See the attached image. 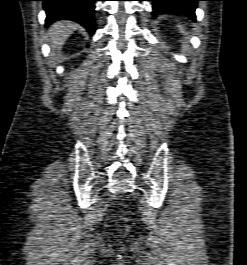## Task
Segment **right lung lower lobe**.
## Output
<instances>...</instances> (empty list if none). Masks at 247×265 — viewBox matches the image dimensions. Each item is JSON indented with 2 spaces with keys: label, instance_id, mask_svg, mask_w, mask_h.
Here are the masks:
<instances>
[{
  "label": "right lung lower lobe",
  "instance_id": "98d812e1",
  "mask_svg": "<svg viewBox=\"0 0 247 265\" xmlns=\"http://www.w3.org/2000/svg\"><path fill=\"white\" fill-rule=\"evenodd\" d=\"M46 11V26L58 20H72L84 26L89 34L95 32V5L97 0H41Z\"/></svg>",
  "mask_w": 247,
  "mask_h": 265
}]
</instances>
